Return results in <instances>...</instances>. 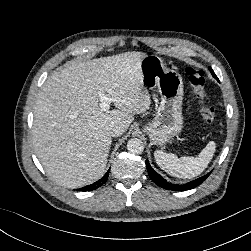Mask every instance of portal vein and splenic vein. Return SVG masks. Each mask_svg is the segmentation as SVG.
Segmentation results:
<instances>
[{"mask_svg": "<svg viewBox=\"0 0 251 251\" xmlns=\"http://www.w3.org/2000/svg\"><path fill=\"white\" fill-rule=\"evenodd\" d=\"M99 97H100V111L101 112H106L109 110L110 108V104L111 102L114 101L113 98L108 97L107 95H105L104 93H99Z\"/></svg>", "mask_w": 251, "mask_h": 251, "instance_id": "1", "label": "portal vein and splenic vein"}]
</instances>
